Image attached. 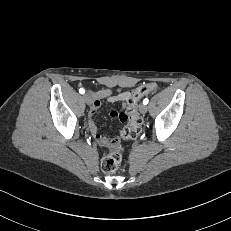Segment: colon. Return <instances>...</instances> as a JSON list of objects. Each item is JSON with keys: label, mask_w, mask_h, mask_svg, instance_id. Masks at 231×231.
Listing matches in <instances>:
<instances>
[{"label": "colon", "mask_w": 231, "mask_h": 231, "mask_svg": "<svg viewBox=\"0 0 231 231\" xmlns=\"http://www.w3.org/2000/svg\"><path fill=\"white\" fill-rule=\"evenodd\" d=\"M156 83H147L136 88L127 101L126 110L121 113L120 118L126 122V126L121 131L123 139H135L141 133L142 118L138 112L140 99L156 90ZM122 160V147L116 146L109 154L103 157L101 169L104 173H114Z\"/></svg>", "instance_id": "5ec220e1"}]
</instances>
